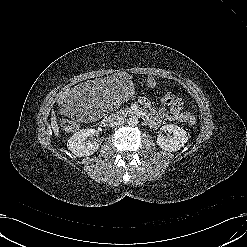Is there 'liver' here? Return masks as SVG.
I'll return each instance as SVG.
<instances>
[{
    "instance_id": "liver-1",
    "label": "liver",
    "mask_w": 247,
    "mask_h": 247,
    "mask_svg": "<svg viewBox=\"0 0 247 247\" xmlns=\"http://www.w3.org/2000/svg\"><path fill=\"white\" fill-rule=\"evenodd\" d=\"M51 127L53 129L55 136L59 137V127H58L57 119L54 113H52V117H51Z\"/></svg>"
}]
</instances>
